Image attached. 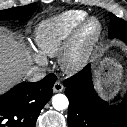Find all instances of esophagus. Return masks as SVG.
Instances as JSON below:
<instances>
[{"label": "esophagus", "mask_w": 127, "mask_h": 127, "mask_svg": "<svg viewBox=\"0 0 127 127\" xmlns=\"http://www.w3.org/2000/svg\"><path fill=\"white\" fill-rule=\"evenodd\" d=\"M63 90H64L63 84L60 81L55 82L53 86V92L58 93V92H62Z\"/></svg>", "instance_id": "obj_1"}]
</instances>
